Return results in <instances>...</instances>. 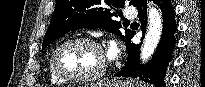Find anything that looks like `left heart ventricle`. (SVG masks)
<instances>
[{
  "mask_svg": "<svg viewBox=\"0 0 205 87\" xmlns=\"http://www.w3.org/2000/svg\"><path fill=\"white\" fill-rule=\"evenodd\" d=\"M59 69L71 75L92 74L99 70L102 53L92 45L74 43L66 46L58 55Z\"/></svg>",
  "mask_w": 205,
  "mask_h": 87,
  "instance_id": "1",
  "label": "left heart ventricle"
}]
</instances>
